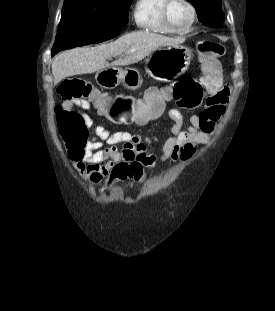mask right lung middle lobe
<instances>
[{"label":"right lung middle lobe","instance_id":"1","mask_svg":"<svg viewBox=\"0 0 275 311\" xmlns=\"http://www.w3.org/2000/svg\"><path fill=\"white\" fill-rule=\"evenodd\" d=\"M132 0H65L52 56L59 51L99 43L127 21Z\"/></svg>","mask_w":275,"mask_h":311}]
</instances>
